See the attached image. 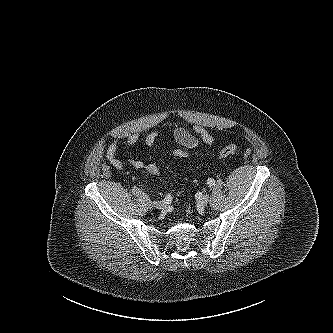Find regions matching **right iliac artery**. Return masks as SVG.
<instances>
[{"label":"right iliac artery","mask_w":333,"mask_h":333,"mask_svg":"<svg viewBox=\"0 0 333 333\" xmlns=\"http://www.w3.org/2000/svg\"><path fill=\"white\" fill-rule=\"evenodd\" d=\"M163 201H164L166 204L171 203V201H172V197H171V195H169V194L166 195Z\"/></svg>","instance_id":"obj_1"}]
</instances>
